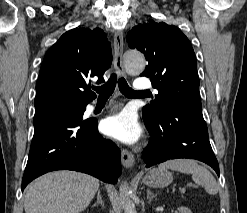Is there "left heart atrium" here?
I'll return each mask as SVG.
<instances>
[{"label":"left heart atrium","mask_w":247,"mask_h":213,"mask_svg":"<svg viewBox=\"0 0 247 213\" xmlns=\"http://www.w3.org/2000/svg\"><path fill=\"white\" fill-rule=\"evenodd\" d=\"M101 128L107 136L125 144L137 142L141 135V127L135 115L128 111L106 118Z\"/></svg>","instance_id":"left-heart-atrium-1"}]
</instances>
